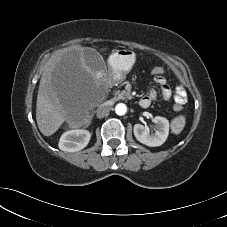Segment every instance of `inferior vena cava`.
<instances>
[{
  "label": "inferior vena cava",
  "mask_w": 227,
  "mask_h": 227,
  "mask_svg": "<svg viewBox=\"0 0 227 227\" xmlns=\"http://www.w3.org/2000/svg\"><path fill=\"white\" fill-rule=\"evenodd\" d=\"M110 110H111L110 106L102 104L97 108L96 115L98 118H103L109 115Z\"/></svg>",
  "instance_id": "602c4592"
}]
</instances>
